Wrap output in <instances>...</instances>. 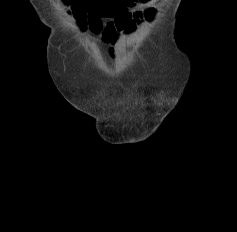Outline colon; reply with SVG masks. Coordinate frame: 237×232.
Returning a JSON list of instances; mask_svg holds the SVG:
<instances>
[{
	"mask_svg": "<svg viewBox=\"0 0 237 232\" xmlns=\"http://www.w3.org/2000/svg\"><path fill=\"white\" fill-rule=\"evenodd\" d=\"M67 1V0H66ZM73 9L81 24L89 20L94 27L100 25L101 17H116L128 7L144 2V0H71Z\"/></svg>",
	"mask_w": 237,
	"mask_h": 232,
	"instance_id": "5ec220e1",
	"label": "colon"
}]
</instances>
